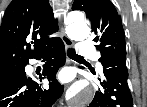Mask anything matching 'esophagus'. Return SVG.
<instances>
[{
    "label": "esophagus",
    "mask_w": 147,
    "mask_h": 107,
    "mask_svg": "<svg viewBox=\"0 0 147 107\" xmlns=\"http://www.w3.org/2000/svg\"><path fill=\"white\" fill-rule=\"evenodd\" d=\"M61 33H62L61 38H62L64 44L69 48L73 47L74 42L64 33L63 30H61Z\"/></svg>",
    "instance_id": "esophagus-1"
}]
</instances>
